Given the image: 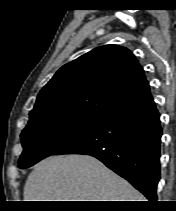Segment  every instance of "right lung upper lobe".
<instances>
[{
	"label": "right lung upper lobe",
	"mask_w": 176,
	"mask_h": 211,
	"mask_svg": "<svg viewBox=\"0 0 176 211\" xmlns=\"http://www.w3.org/2000/svg\"><path fill=\"white\" fill-rule=\"evenodd\" d=\"M150 100L149 84L132 52L105 45L60 68L39 92L29 114L65 110L104 118Z\"/></svg>",
	"instance_id": "right-lung-upper-lobe-1"
}]
</instances>
